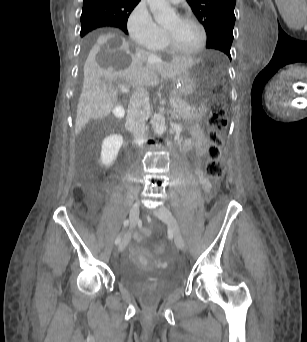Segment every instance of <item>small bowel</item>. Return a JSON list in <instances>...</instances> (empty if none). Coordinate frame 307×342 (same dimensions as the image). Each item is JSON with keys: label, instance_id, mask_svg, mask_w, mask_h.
I'll return each mask as SVG.
<instances>
[{"label": "small bowel", "instance_id": "small-bowel-1", "mask_svg": "<svg viewBox=\"0 0 307 342\" xmlns=\"http://www.w3.org/2000/svg\"><path fill=\"white\" fill-rule=\"evenodd\" d=\"M192 147L196 148V152L199 156H202L205 154L207 148H208V139L204 133V131L198 126H193L191 130V138L187 139L184 143V148L186 150L191 149ZM195 174L201 183V185L205 188H209V181L208 179L203 175V172L199 166H196L195 168ZM150 234V231L148 229H142L141 235H134V239L136 242H142L144 240V237L148 236Z\"/></svg>", "mask_w": 307, "mask_h": 342}]
</instances>
